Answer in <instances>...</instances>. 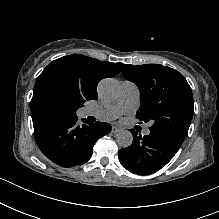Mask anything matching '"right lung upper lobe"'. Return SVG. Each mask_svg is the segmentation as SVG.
<instances>
[{"mask_svg":"<svg viewBox=\"0 0 219 219\" xmlns=\"http://www.w3.org/2000/svg\"><path fill=\"white\" fill-rule=\"evenodd\" d=\"M122 63L99 61L81 54H73L51 62L38 76L31 100V111L37 110L35 101L40 91L49 84H61L85 102L98 98L97 85L104 78L116 76Z\"/></svg>","mask_w":219,"mask_h":219,"instance_id":"obj_1","label":"right lung upper lobe"}]
</instances>
